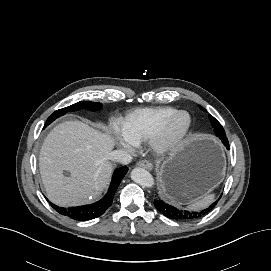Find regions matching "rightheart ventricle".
<instances>
[{
    "instance_id": "1",
    "label": "right heart ventricle",
    "mask_w": 271,
    "mask_h": 271,
    "mask_svg": "<svg viewBox=\"0 0 271 271\" xmlns=\"http://www.w3.org/2000/svg\"><path fill=\"white\" fill-rule=\"evenodd\" d=\"M176 111L172 107L136 109L122 120L123 135L131 144L150 140Z\"/></svg>"
}]
</instances>
